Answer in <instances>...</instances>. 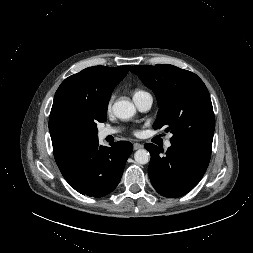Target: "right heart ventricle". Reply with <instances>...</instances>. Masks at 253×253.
I'll return each instance as SVG.
<instances>
[{
    "mask_svg": "<svg viewBox=\"0 0 253 253\" xmlns=\"http://www.w3.org/2000/svg\"><path fill=\"white\" fill-rule=\"evenodd\" d=\"M143 93H146L145 91H143V90H135V92H134V96H137V95H140V94H143Z\"/></svg>",
    "mask_w": 253,
    "mask_h": 253,
    "instance_id": "right-heart-ventricle-1",
    "label": "right heart ventricle"
}]
</instances>
